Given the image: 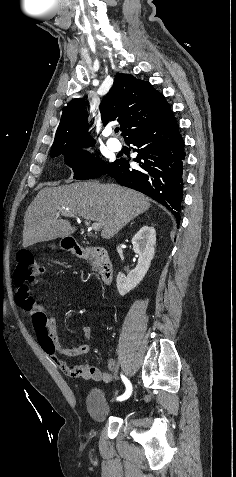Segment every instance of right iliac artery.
Returning a JSON list of instances; mask_svg holds the SVG:
<instances>
[{"instance_id": "obj_1", "label": "right iliac artery", "mask_w": 236, "mask_h": 477, "mask_svg": "<svg viewBox=\"0 0 236 477\" xmlns=\"http://www.w3.org/2000/svg\"><path fill=\"white\" fill-rule=\"evenodd\" d=\"M122 381L124 382L126 386V391L123 395L118 397V400H115V403L121 404L122 402H125L126 400H129L131 398V393H132V385L130 381L121 374Z\"/></svg>"}]
</instances>
